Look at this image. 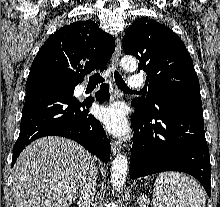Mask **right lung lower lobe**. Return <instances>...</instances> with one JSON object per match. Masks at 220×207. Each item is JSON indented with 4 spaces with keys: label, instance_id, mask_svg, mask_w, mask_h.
<instances>
[{
    "label": "right lung lower lobe",
    "instance_id": "1",
    "mask_svg": "<svg viewBox=\"0 0 220 207\" xmlns=\"http://www.w3.org/2000/svg\"><path fill=\"white\" fill-rule=\"evenodd\" d=\"M69 82L48 77L28 79L20 134L13 148L12 166L26 145L49 135L72 139L97 155L110 159V142L99 121L89 114L91 100L79 102ZM105 84L96 94L98 102L109 98Z\"/></svg>",
    "mask_w": 220,
    "mask_h": 207
}]
</instances>
